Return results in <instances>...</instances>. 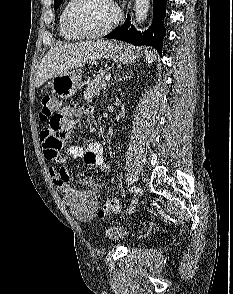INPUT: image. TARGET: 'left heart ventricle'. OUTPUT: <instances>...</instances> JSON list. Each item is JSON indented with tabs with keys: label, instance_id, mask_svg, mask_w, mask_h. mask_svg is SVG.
Masks as SVG:
<instances>
[{
	"label": "left heart ventricle",
	"instance_id": "b2bd125f",
	"mask_svg": "<svg viewBox=\"0 0 233 294\" xmlns=\"http://www.w3.org/2000/svg\"><path fill=\"white\" fill-rule=\"evenodd\" d=\"M115 8L109 0H81L74 8L72 22L82 32H96L114 18Z\"/></svg>",
	"mask_w": 233,
	"mask_h": 294
}]
</instances>
